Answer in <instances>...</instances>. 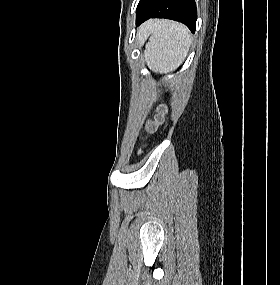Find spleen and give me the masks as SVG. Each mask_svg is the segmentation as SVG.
Segmentation results:
<instances>
[{"label": "spleen", "mask_w": 280, "mask_h": 285, "mask_svg": "<svg viewBox=\"0 0 280 285\" xmlns=\"http://www.w3.org/2000/svg\"><path fill=\"white\" fill-rule=\"evenodd\" d=\"M143 30L151 34L144 51L150 69L168 73L184 61L191 45V35L184 25L154 20L147 23Z\"/></svg>", "instance_id": "spleen-1"}]
</instances>
